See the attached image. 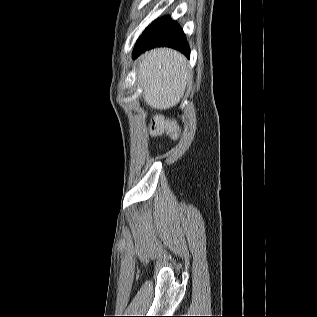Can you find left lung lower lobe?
I'll return each mask as SVG.
<instances>
[{"instance_id": "obj_1", "label": "left lung lower lobe", "mask_w": 317, "mask_h": 317, "mask_svg": "<svg viewBox=\"0 0 317 317\" xmlns=\"http://www.w3.org/2000/svg\"><path fill=\"white\" fill-rule=\"evenodd\" d=\"M170 47L190 56L189 46L182 29L169 17L152 22L138 38L133 58H137L146 50L155 47Z\"/></svg>"}]
</instances>
